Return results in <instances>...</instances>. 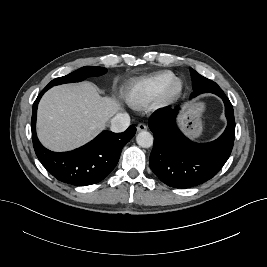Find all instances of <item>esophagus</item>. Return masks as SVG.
<instances>
[{"label":"esophagus","instance_id":"1","mask_svg":"<svg viewBox=\"0 0 267 267\" xmlns=\"http://www.w3.org/2000/svg\"><path fill=\"white\" fill-rule=\"evenodd\" d=\"M145 130H147V126L144 123L138 124V126H137L138 132L145 131Z\"/></svg>","mask_w":267,"mask_h":267}]
</instances>
